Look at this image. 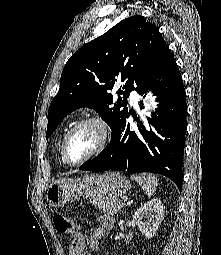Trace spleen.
<instances>
[{
	"label": "spleen",
	"instance_id": "obj_1",
	"mask_svg": "<svg viewBox=\"0 0 221 255\" xmlns=\"http://www.w3.org/2000/svg\"><path fill=\"white\" fill-rule=\"evenodd\" d=\"M131 179L138 182L148 196H152L155 193L158 180L154 174H134Z\"/></svg>",
	"mask_w": 221,
	"mask_h": 255
}]
</instances>
